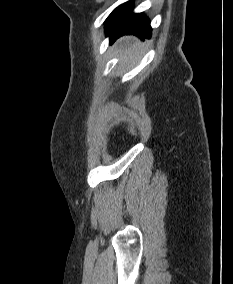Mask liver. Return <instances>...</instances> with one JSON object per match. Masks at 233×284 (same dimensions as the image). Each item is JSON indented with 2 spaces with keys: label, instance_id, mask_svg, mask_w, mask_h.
I'll return each mask as SVG.
<instances>
[{
  "label": "liver",
  "instance_id": "1",
  "mask_svg": "<svg viewBox=\"0 0 233 284\" xmlns=\"http://www.w3.org/2000/svg\"><path fill=\"white\" fill-rule=\"evenodd\" d=\"M127 52H129V48H128V50L126 49L125 54H126Z\"/></svg>",
  "mask_w": 233,
  "mask_h": 284
}]
</instances>
